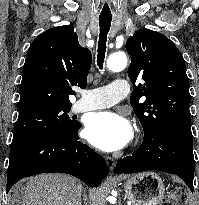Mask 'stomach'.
I'll list each match as a JSON object with an SVG mask.
<instances>
[{
    "mask_svg": "<svg viewBox=\"0 0 199 205\" xmlns=\"http://www.w3.org/2000/svg\"><path fill=\"white\" fill-rule=\"evenodd\" d=\"M125 194L134 205H158L165 193L163 180L155 172H142L126 177Z\"/></svg>",
    "mask_w": 199,
    "mask_h": 205,
    "instance_id": "0dacf381",
    "label": "stomach"
}]
</instances>
